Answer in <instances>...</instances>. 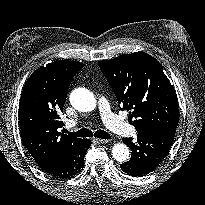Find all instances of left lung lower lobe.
Segmentation results:
<instances>
[{
    "label": "left lung lower lobe",
    "instance_id": "obj_1",
    "mask_svg": "<svg viewBox=\"0 0 205 205\" xmlns=\"http://www.w3.org/2000/svg\"><path fill=\"white\" fill-rule=\"evenodd\" d=\"M176 130H162L137 135V142L132 138H123V142L132 150L131 158L121 165V169L130 176L141 177L151 173L168 154Z\"/></svg>",
    "mask_w": 205,
    "mask_h": 205
}]
</instances>
